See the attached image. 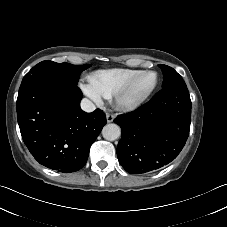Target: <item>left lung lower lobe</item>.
<instances>
[{
  "instance_id": "0a47b994",
  "label": "left lung lower lobe",
  "mask_w": 227,
  "mask_h": 227,
  "mask_svg": "<svg viewBox=\"0 0 227 227\" xmlns=\"http://www.w3.org/2000/svg\"><path fill=\"white\" fill-rule=\"evenodd\" d=\"M121 166L132 174L159 169L174 160L189 136L191 100L187 86L162 88L137 110L118 115Z\"/></svg>"
}]
</instances>
